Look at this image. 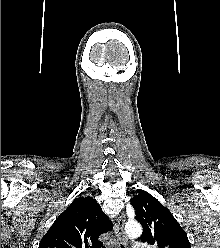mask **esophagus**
I'll return each instance as SVG.
<instances>
[{
  "label": "esophagus",
  "mask_w": 220,
  "mask_h": 248,
  "mask_svg": "<svg viewBox=\"0 0 220 248\" xmlns=\"http://www.w3.org/2000/svg\"><path fill=\"white\" fill-rule=\"evenodd\" d=\"M124 222L125 219L123 215L117 217L115 223V239L111 243V248H119L120 243L125 244Z\"/></svg>",
  "instance_id": "obj_1"
}]
</instances>
